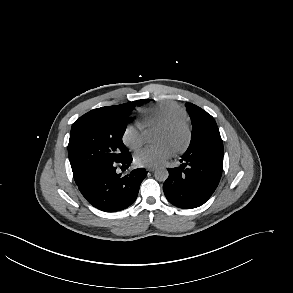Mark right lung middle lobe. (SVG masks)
Wrapping results in <instances>:
<instances>
[{
    "label": "right lung middle lobe",
    "mask_w": 293,
    "mask_h": 293,
    "mask_svg": "<svg viewBox=\"0 0 293 293\" xmlns=\"http://www.w3.org/2000/svg\"><path fill=\"white\" fill-rule=\"evenodd\" d=\"M143 101L94 109L74 122L68 144L74 177H84L101 165L130 155L122 137L128 116Z\"/></svg>",
    "instance_id": "right-lung-middle-lobe-1"
}]
</instances>
